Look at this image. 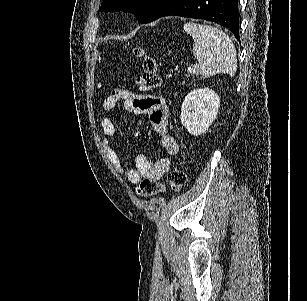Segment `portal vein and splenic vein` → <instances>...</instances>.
Returning <instances> with one entry per match:
<instances>
[{"instance_id": "18ae733b", "label": "portal vein and splenic vein", "mask_w": 307, "mask_h": 301, "mask_svg": "<svg viewBox=\"0 0 307 301\" xmlns=\"http://www.w3.org/2000/svg\"><path fill=\"white\" fill-rule=\"evenodd\" d=\"M199 64H195V68H198Z\"/></svg>"}]
</instances>
